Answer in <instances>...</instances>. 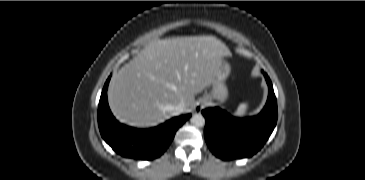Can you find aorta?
<instances>
[{"instance_id": "1", "label": "aorta", "mask_w": 365, "mask_h": 180, "mask_svg": "<svg viewBox=\"0 0 365 180\" xmlns=\"http://www.w3.org/2000/svg\"><path fill=\"white\" fill-rule=\"evenodd\" d=\"M191 123L197 127H202L205 125V118L201 114H195L191 118Z\"/></svg>"}]
</instances>
